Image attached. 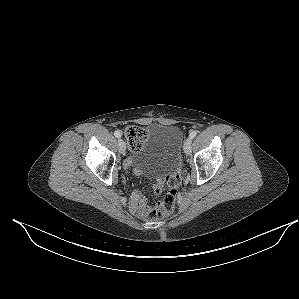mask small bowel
<instances>
[{"mask_svg":"<svg viewBox=\"0 0 299 299\" xmlns=\"http://www.w3.org/2000/svg\"><path fill=\"white\" fill-rule=\"evenodd\" d=\"M136 173L140 174L139 171H136ZM131 210L139 216H143L149 211L146 198L138 190H135L131 195Z\"/></svg>","mask_w":299,"mask_h":299,"instance_id":"obj_1","label":"small bowel"}]
</instances>
